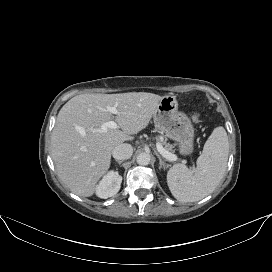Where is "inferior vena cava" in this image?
<instances>
[{
	"label": "inferior vena cava",
	"instance_id": "inferior-vena-cava-1",
	"mask_svg": "<svg viewBox=\"0 0 272 272\" xmlns=\"http://www.w3.org/2000/svg\"><path fill=\"white\" fill-rule=\"evenodd\" d=\"M132 154L133 148L130 144L127 143L116 146L112 151V155L116 160H127L131 158Z\"/></svg>",
	"mask_w": 272,
	"mask_h": 272
}]
</instances>
